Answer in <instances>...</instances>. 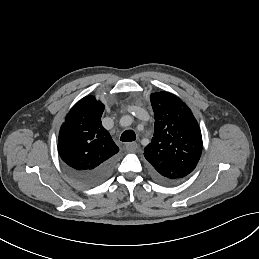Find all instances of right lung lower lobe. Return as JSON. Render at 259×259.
<instances>
[{
	"instance_id": "obj_1",
	"label": "right lung lower lobe",
	"mask_w": 259,
	"mask_h": 259,
	"mask_svg": "<svg viewBox=\"0 0 259 259\" xmlns=\"http://www.w3.org/2000/svg\"><path fill=\"white\" fill-rule=\"evenodd\" d=\"M115 162V157H113L98 167L87 170H76L67 166V172L79 183L85 186H93L103 182L110 176L114 169Z\"/></svg>"
}]
</instances>
